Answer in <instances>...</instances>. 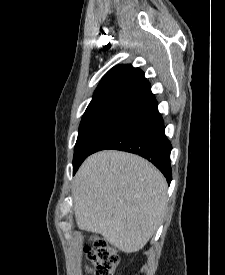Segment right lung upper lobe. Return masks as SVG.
<instances>
[{
    "label": "right lung upper lobe",
    "mask_w": 225,
    "mask_h": 275,
    "mask_svg": "<svg viewBox=\"0 0 225 275\" xmlns=\"http://www.w3.org/2000/svg\"><path fill=\"white\" fill-rule=\"evenodd\" d=\"M154 103L144 73L131 65H118L102 78L82 119L101 114L128 116Z\"/></svg>",
    "instance_id": "cb5924a9"
}]
</instances>
